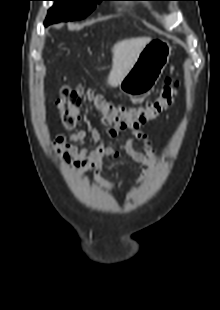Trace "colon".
I'll use <instances>...</instances> for the list:
<instances>
[{
  "mask_svg": "<svg viewBox=\"0 0 220 310\" xmlns=\"http://www.w3.org/2000/svg\"><path fill=\"white\" fill-rule=\"evenodd\" d=\"M179 82L173 75H167L157 96L152 101L138 106H123L111 103L102 96L82 86L65 85L58 100L59 116L66 130H73L80 121L79 108L85 100L90 101L101 113L103 123L117 130H137L154 121L173 102Z\"/></svg>",
  "mask_w": 220,
  "mask_h": 310,
  "instance_id": "colon-1",
  "label": "colon"
}]
</instances>
